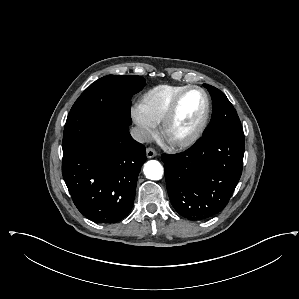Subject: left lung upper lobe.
Segmentation results:
<instances>
[{
  "label": "left lung upper lobe",
  "mask_w": 299,
  "mask_h": 299,
  "mask_svg": "<svg viewBox=\"0 0 299 299\" xmlns=\"http://www.w3.org/2000/svg\"><path fill=\"white\" fill-rule=\"evenodd\" d=\"M212 97V118L203 135L219 131H236L243 133L239 117L228 98L217 88L204 84Z\"/></svg>",
  "instance_id": "1"
}]
</instances>
